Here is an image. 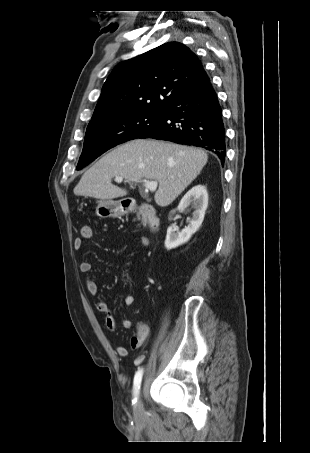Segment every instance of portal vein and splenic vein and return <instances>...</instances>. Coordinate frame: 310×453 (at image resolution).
I'll return each mask as SVG.
<instances>
[{
    "label": "portal vein and splenic vein",
    "instance_id": "obj_1",
    "mask_svg": "<svg viewBox=\"0 0 310 453\" xmlns=\"http://www.w3.org/2000/svg\"><path fill=\"white\" fill-rule=\"evenodd\" d=\"M115 181L120 183L123 181V178L122 177H115ZM143 185L144 187L147 189V190H150L151 192H154L156 191L157 189V181H149V180H143Z\"/></svg>",
    "mask_w": 310,
    "mask_h": 453
}]
</instances>
